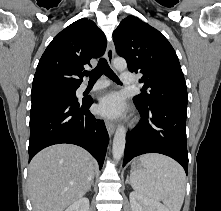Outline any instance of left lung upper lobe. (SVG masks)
Wrapping results in <instances>:
<instances>
[{
	"label": "left lung upper lobe",
	"mask_w": 221,
	"mask_h": 211,
	"mask_svg": "<svg viewBox=\"0 0 221 211\" xmlns=\"http://www.w3.org/2000/svg\"><path fill=\"white\" fill-rule=\"evenodd\" d=\"M119 56L130 72H139L142 93L133 98L144 108L163 103L187 105V87L178 57L169 41L155 28L134 16L122 20L113 32Z\"/></svg>",
	"instance_id": "1"
}]
</instances>
